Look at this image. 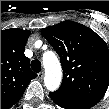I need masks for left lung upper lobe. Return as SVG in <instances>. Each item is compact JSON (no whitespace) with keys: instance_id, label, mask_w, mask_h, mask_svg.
<instances>
[{"instance_id":"5c2ea615","label":"left lung upper lobe","mask_w":109,"mask_h":109,"mask_svg":"<svg viewBox=\"0 0 109 109\" xmlns=\"http://www.w3.org/2000/svg\"><path fill=\"white\" fill-rule=\"evenodd\" d=\"M60 57L63 81L58 91L96 105L109 86V49L90 28L64 21L41 30Z\"/></svg>"}]
</instances>
